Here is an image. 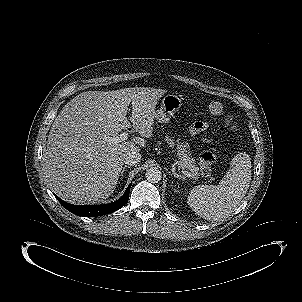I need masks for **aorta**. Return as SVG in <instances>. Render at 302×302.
Instances as JSON below:
<instances>
[{
	"mask_svg": "<svg viewBox=\"0 0 302 302\" xmlns=\"http://www.w3.org/2000/svg\"><path fill=\"white\" fill-rule=\"evenodd\" d=\"M146 179L151 183H157L162 178V173L157 167L149 168L145 173Z\"/></svg>",
	"mask_w": 302,
	"mask_h": 302,
	"instance_id": "obj_1",
	"label": "aorta"
}]
</instances>
